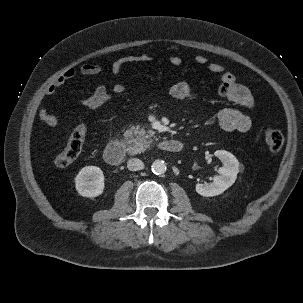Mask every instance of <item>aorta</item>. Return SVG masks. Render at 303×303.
<instances>
[{
  "label": "aorta",
  "instance_id": "aorta-1",
  "mask_svg": "<svg viewBox=\"0 0 303 303\" xmlns=\"http://www.w3.org/2000/svg\"><path fill=\"white\" fill-rule=\"evenodd\" d=\"M152 172L156 175H162L166 172L167 170V165L165 161L163 160H155L152 163Z\"/></svg>",
  "mask_w": 303,
  "mask_h": 303
}]
</instances>
